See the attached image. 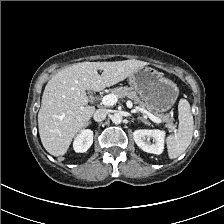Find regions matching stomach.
<instances>
[{"mask_svg":"<svg viewBox=\"0 0 224 224\" xmlns=\"http://www.w3.org/2000/svg\"><path fill=\"white\" fill-rule=\"evenodd\" d=\"M141 100L157 112L169 110L177 100L179 89L163 73L151 68L141 67L129 76Z\"/></svg>","mask_w":224,"mask_h":224,"instance_id":"1","label":"stomach"}]
</instances>
